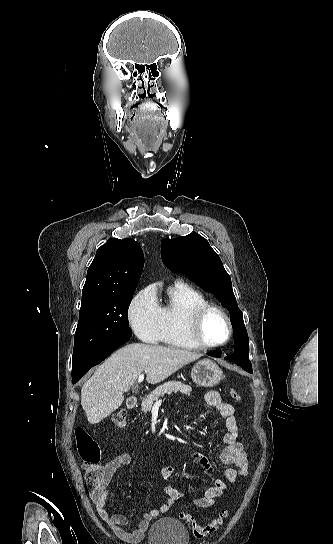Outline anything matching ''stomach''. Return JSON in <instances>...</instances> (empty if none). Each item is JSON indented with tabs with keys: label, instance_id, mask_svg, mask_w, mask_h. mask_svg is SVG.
Instances as JSON below:
<instances>
[{
	"label": "stomach",
	"instance_id": "1",
	"mask_svg": "<svg viewBox=\"0 0 333 544\" xmlns=\"http://www.w3.org/2000/svg\"><path fill=\"white\" fill-rule=\"evenodd\" d=\"M191 377L198 386L213 387L222 380L223 373L215 362L203 359L193 366Z\"/></svg>",
	"mask_w": 333,
	"mask_h": 544
}]
</instances>
